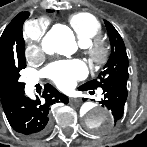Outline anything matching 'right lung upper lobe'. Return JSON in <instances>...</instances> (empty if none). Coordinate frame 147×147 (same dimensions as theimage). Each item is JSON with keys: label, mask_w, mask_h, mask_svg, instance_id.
I'll list each match as a JSON object with an SVG mask.
<instances>
[{"label": "right lung upper lobe", "mask_w": 147, "mask_h": 147, "mask_svg": "<svg viewBox=\"0 0 147 147\" xmlns=\"http://www.w3.org/2000/svg\"><path fill=\"white\" fill-rule=\"evenodd\" d=\"M22 17V12L19 13L11 23L6 27L0 37V80L6 73L13 61H16L21 52L19 44V22ZM2 101L5 99L2 98Z\"/></svg>", "instance_id": "right-lung-upper-lobe-1"}]
</instances>
